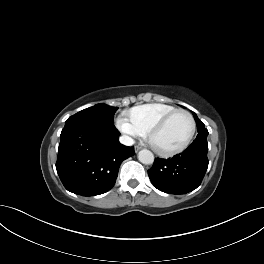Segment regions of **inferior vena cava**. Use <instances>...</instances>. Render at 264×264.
<instances>
[{"instance_id": "602c4592", "label": "inferior vena cava", "mask_w": 264, "mask_h": 264, "mask_svg": "<svg viewBox=\"0 0 264 264\" xmlns=\"http://www.w3.org/2000/svg\"><path fill=\"white\" fill-rule=\"evenodd\" d=\"M119 141L121 144L126 145V146H132L134 144V140L127 135L121 136Z\"/></svg>"}]
</instances>
